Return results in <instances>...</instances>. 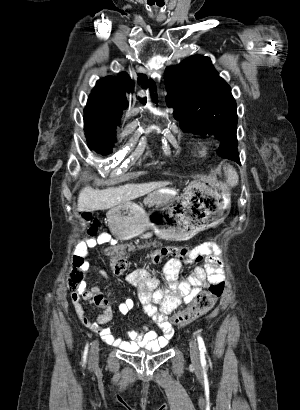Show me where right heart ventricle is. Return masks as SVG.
I'll return each instance as SVG.
<instances>
[{"label": "right heart ventricle", "mask_w": 300, "mask_h": 410, "mask_svg": "<svg viewBox=\"0 0 300 410\" xmlns=\"http://www.w3.org/2000/svg\"><path fill=\"white\" fill-rule=\"evenodd\" d=\"M205 152H206L205 148L201 149V151H200L201 154H204Z\"/></svg>", "instance_id": "e07e8e85"}]
</instances>
